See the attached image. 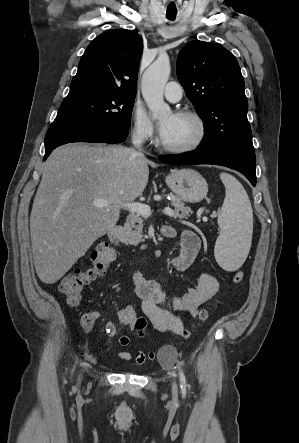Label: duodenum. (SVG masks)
I'll list each match as a JSON object with an SVG mask.
<instances>
[{"instance_id": "duodenum-1", "label": "duodenum", "mask_w": 299, "mask_h": 443, "mask_svg": "<svg viewBox=\"0 0 299 443\" xmlns=\"http://www.w3.org/2000/svg\"><path fill=\"white\" fill-rule=\"evenodd\" d=\"M108 238L110 242L117 246L121 243L120 228L117 225H112L108 230Z\"/></svg>"}]
</instances>
